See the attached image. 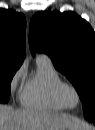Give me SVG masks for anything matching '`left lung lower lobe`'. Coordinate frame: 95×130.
Masks as SVG:
<instances>
[{
	"mask_svg": "<svg viewBox=\"0 0 95 130\" xmlns=\"http://www.w3.org/2000/svg\"><path fill=\"white\" fill-rule=\"evenodd\" d=\"M87 120H89L90 122L95 123V119H87Z\"/></svg>",
	"mask_w": 95,
	"mask_h": 130,
	"instance_id": "0a47b994",
	"label": "left lung lower lobe"
}]
</instances>
